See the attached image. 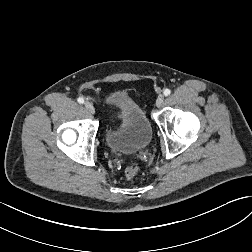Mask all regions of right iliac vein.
I'll list each match as a JSON object with an SVG mask.
<instances>
[{
	"mask_svg": "<svg viewBox=\"0 0 252 252\" xmlns=\"http://www.w3.org/2000/svg\"><path fill=\"white\" fill-rule=\"evenodd\" d=\"M85 108L88 110L89 113L95 114V108L91 102H85L84 103Z\"/></svg>",
	"mask_w": 252,
	"mask_h": 252,
	"instance_id": "right-iliac-vein-1",
	"label": "right iliac vein"
}]
</instances>
